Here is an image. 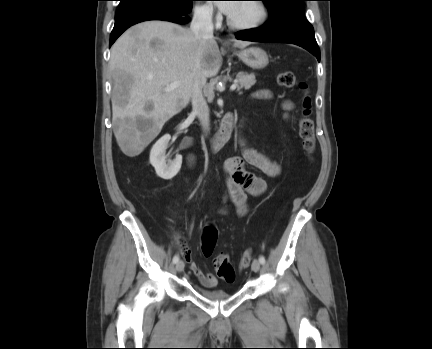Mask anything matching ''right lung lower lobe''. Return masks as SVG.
<instances>
[{
    "mask_svg": "<svg viewBox=\"0 0 432 349\" xmlns=\"http://www.w3.org/2000/svg\"><path fill=\"white\" fill-rule=\"evenodd\" d=\"M191 6L178 9L156 2H142L121 8L115 16L114 28L110 36L111 46L115 40L130 26L148 20H164L174 23H186L189 18L183 17L190 13Z\"/></svg>",
    "mask_w": 432,
    "mask_h": 349,
    "instance_id": "obj_1",
    "label": "right lung lower lobe"
}]
</instances>
